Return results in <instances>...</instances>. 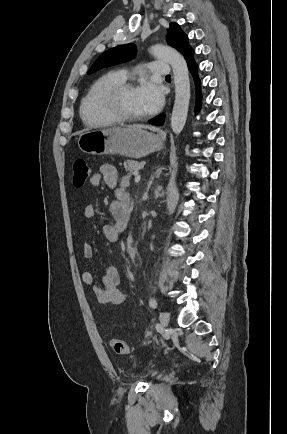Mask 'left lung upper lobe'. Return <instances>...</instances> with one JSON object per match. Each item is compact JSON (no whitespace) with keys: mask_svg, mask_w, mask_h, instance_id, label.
<instances>
[{"mask_svg":"<svg viewBox=\"0 0 287 434\" xmlns=\"http://www.w3.org/2000/svg\"><path fill=\"white\" fill-rule=\"evenodd\" d=\"M167 42L170 46L181 52L185 59L193 55V50L188 44V38L186 34L176 23H170ZM136 53L137 51L134 44H125L111 48L97 58V60L91 66L88 74L104 67L129 61L136 56Z\"/></svg>","mask_w":287,"mask_h":434,"instance_id":"1","label":"left lung upper lobe"}]
</instances>
